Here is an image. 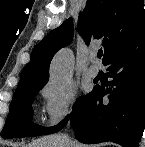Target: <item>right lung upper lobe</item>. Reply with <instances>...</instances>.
I'll use <instances>...</instances> for the list:
<instances>
[{
  "label": "right lung upper lobe",
  "instance_id": "cb5924a9",
  "mask_svg": "<svg viewBox=\"0 0 145 147\" xmlns=\"http://www.w3.org/2000/svg\"><path fill=\"white\" fill-rule=\"evenodd\" d=\"M144 27L143 0H87L78 18V30L86 44L92 40L102 42L105 50L103 63L131 35ZM73 33V20L69 18L38 43L21 73L16 90L45 86L53 56L72 41Z\"/></svg>",
  "mask_w": 145,
  "mask_h": 147
}]
</instances>
